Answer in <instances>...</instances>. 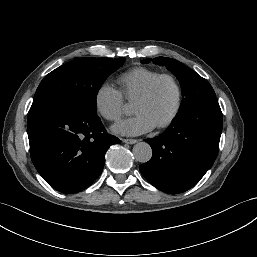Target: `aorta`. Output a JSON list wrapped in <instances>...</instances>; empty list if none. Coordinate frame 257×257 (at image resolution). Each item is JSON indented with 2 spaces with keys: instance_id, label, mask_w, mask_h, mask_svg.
<instances>
[{
  "instance_id": "aorta-1",
  "label": "aorta",
  "mask_w": 257,
  "mask_h": 257,
  "mask_svg": "<svg viewBox=\"0 0 257 257\" xmlns=\"http://www.w3.org/2000/svg\"><path fill=\"white\" fill-rule=\"evenodd\" d=\"M133 155L140 163L148 162L152 157V149L146 142H139L133 147Z\"/></svg>"
}]
</instances>
